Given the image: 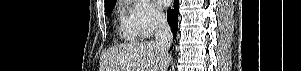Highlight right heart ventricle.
<instances>
[{
  "label": "right heart ventricle",
  "instance_id": "1",
  "mask_svg": "<svg viewBox=\"0 0 301 71\" xmlns=\"http://www.w3.org/2000/svg\"><path fill=\"white\" fill-rule=\"evenodd\" d=\"M119 31L120 34L127 40L134 41L137 39V34L134 31L129 17L124 11H122L119 17Z\"/></svg>",
  "mask_w": 301,
  "mask_h": 71
}]
</instances>
